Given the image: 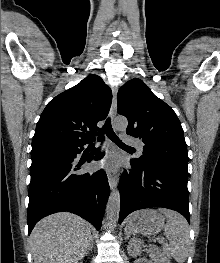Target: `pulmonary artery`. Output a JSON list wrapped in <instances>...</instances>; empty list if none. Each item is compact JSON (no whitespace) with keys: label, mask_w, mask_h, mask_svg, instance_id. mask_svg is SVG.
Returning <instances> with one entry per match:
<instances>
[{"label":"pulmonary artery","mask_w":220,"mask_h":263,"mask_svg":"<svg viewBox=\"0 0 220 263\" xmlns=\"http://www.w3.org/2000/svg\"><path fill=\"white\" fill-rule=\"evenodd\" d=\"M124 141L128 144V145H133V146H137L139 151H142V148L140 147L138 141L136 139H134L131 136H124Z\"/></svg>","instance_id":"1"}]
</instances>
